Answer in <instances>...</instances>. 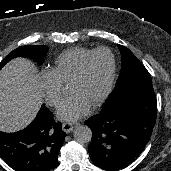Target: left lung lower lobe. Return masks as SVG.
Instances as JSON below:
<instances>
[{
  "mask_svg": "<svg viewBox=\"0 0 171 171\" xmlns=\"http://www.w3.org/2000/svg\"><path fill=\"white\" fill-rule=\"evenodd\" d=\"M157 115L156 96H126L85 121L92 129L91 160L105 170H119L142 153Z\"/></svg>",
  "mask_w": 171,
  "mask_h": 171,
  "instance_id": "0a47b994",
  "label": "left lung lower lobe"
}]
</instances>
